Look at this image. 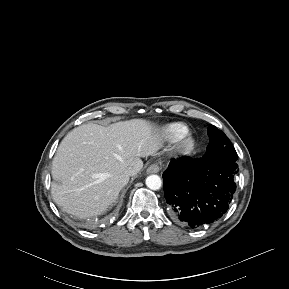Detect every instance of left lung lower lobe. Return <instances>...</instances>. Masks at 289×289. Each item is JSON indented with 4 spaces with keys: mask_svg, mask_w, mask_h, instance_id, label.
I'll return each instance as SVG.
<instances>
[{
    "mask_svg": "<svg viewBox=\"0 0 289 289\" xmlns=\"http://www.w3.org/2000/svg\"><path fill=\"white\" fill-rule=\"evenodd\" d=\"M237 163L181 158L163 173L164 195L173 213L191 228L211 224L229 208L236 190Z\"/></svg>",
    "mask_w": 289,
    "mask_h": 289,
    "instance_id": "1",
    "label": "left lung lower lobe"
}]
</instances>
